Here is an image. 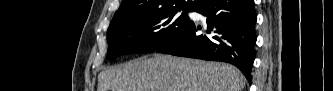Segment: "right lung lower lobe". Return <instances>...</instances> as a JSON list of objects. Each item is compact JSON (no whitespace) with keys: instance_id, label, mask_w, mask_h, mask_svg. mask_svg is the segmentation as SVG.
<instances>
[{"instance_id":"1","label":"right lung lower lobe","mask_w":333,"mask_h":91,"mask_svg":"<svg viewBox=\"0 0 333 91\" xmlns=\"http://www.w3.org/2000/svg\"><path fill=\"white\" fill-rule=\"evenodd\" d=\"M196 12L207 17L204 27L190 21L160 53L224 61L237 66L251 82L257 16L254 0H206ZM200 30L204 33L200 34Z\"/></svg>"}]
</instances>
